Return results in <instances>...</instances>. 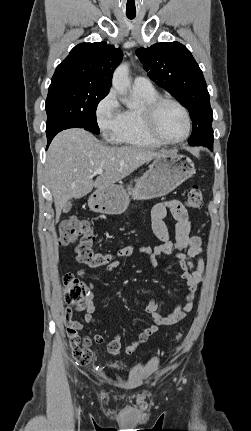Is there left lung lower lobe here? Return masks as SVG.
Returning <instances> with one entry per match:
<instances>
[{
  "label": "left lung lower lobe",
  "mask_w": 251,
  "mask_h": 431,
  "mask_svg": "<svg viewBox=\"0 0 251 431\" xmlns=\"http://www.w3.org/2000/svg\"><path fill=\"white\" fill-rule=\"evenodd\" d=\"M198 127H194V130L197 131Z\"/></svg>",
  "instance_id": "left-lung-lower-lobe-1"
}]
</instances>
